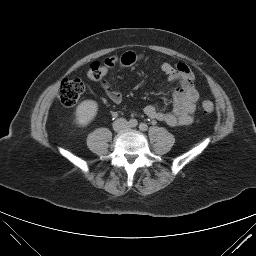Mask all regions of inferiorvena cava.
Here are the masks:
<instances>
[{"label":"inferior vena cava","instance_id":"602c4592","mask_svg":"<svg viewBox=\"0 0 256 256\" xmlns=\"http://www.w3.org/2000/svg\"><path fill=\"white\" fill-rule=\"evenodd\" d=\"M115 131H125L128 128V122L124 118H118L113 123Z\"/></svg>","mask_w":256,"mask_h":256}]
</instances>
